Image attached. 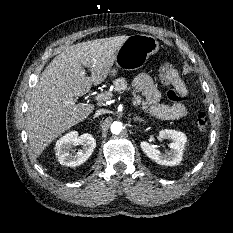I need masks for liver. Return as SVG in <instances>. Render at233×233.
<instances>
[{
	"label": "liver",
	"mask_w": 233,
	"mask_h": 233,
	"mask_svg": "<svg viewBox=\"0 0 233 233\" xmlns=\"http://www.w3.org/2000/svg\"><path fill=\"white\" fill-rule=\"evenodd\" d=\"M127 38L122 35L69 46L42 72L33 89L26 120L34 158L59 135L92 113L93 104L76 103L73 97L83 96L92 84L98 85L107 78ZM82 65L90 70V77Z\"/></svg>",
	"instance_id": "6515ba94"
}]
</instances>
